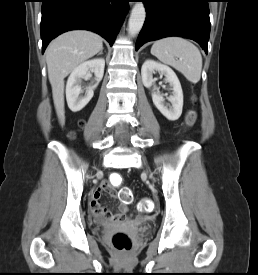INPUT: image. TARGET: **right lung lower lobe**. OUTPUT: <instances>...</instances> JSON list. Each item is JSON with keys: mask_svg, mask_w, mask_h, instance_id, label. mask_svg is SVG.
Returning a JSON list of instances; mask_svg holds the SVG:
<instances>
[{"mask_svg": "<svg viewBox=\"0 0 258 275\" xmlns=\"http://www.w3.org/2000/svg\"><path fill=\"white\" fill-rule=\"evenodd\" d=\"M129 0H42V53L59 34L74 29L98 33L112 46Z\"/></svg>", "mask_w": 258, "mask_h": 275, "instance_id": "1", "label": "right lung lower lobe"}]
</instances>
